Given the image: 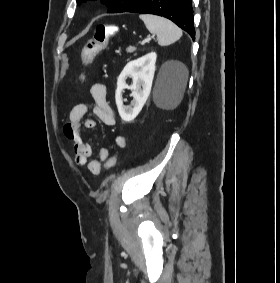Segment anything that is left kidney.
<instances>
[{
	"mask_svg": "<svg viewBox=\"0 0 280 283\" xmlns=\"http://www.w3.org/2000/svg\"><path fill=\"white\" fill-rule=\"evenodd\" d=\"M156 58L157 54L151 52L141 58L130 61L117 79L115 100L119 115L125 122H130L136 118L149 97L155 73ZM127 77L133 79L131 86L126 84ZM127 88L132 90L133 96L130 107H125L122 99V92Z\"/></svg>",
	"mask_w": 280,
	"mask_h": 283,
	"instance_id": "1",
	"label": "left kidney"
}]
</instances>
